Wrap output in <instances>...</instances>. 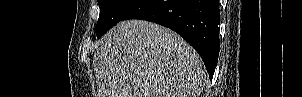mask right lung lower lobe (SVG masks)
Instances as JSON below:
<instances>
[{
    "label": "right lung lower lobe",
    "mask_w": 302,
    "mask_h": 97,
    "mask_svg": "<svg viewBox=\"0 0 302 97\" xmlns=\"http://www.w3.org/2000/svg\"><path fill=\"white\" fill-rule=\"evenodd\" d=\"M142 19L182 36L203 59L212 79L219 55V0H141L122 20Z\"/></svg>",
    "instance_id": "right-lung-lower-lobe-1"
}]
</instances>
